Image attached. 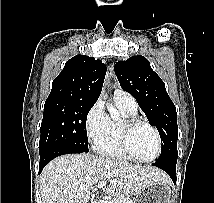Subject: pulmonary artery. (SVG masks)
Returning a JSON list of instances; mask_svg holds the SVG:
<instances>
[{
  "label": "pulmonary artery",
  "instance_id": "1",
  "mask_svg": "<svg viewBox=\"0 0 214 203\" xmlns=\"http://www.w3.org/2000/svg\"><path fill=\"white\" fill-rule=\"evenodd\" d=\"M114 97L123 102L124 104H126L128 107L132 109H137L136 100L126 91L122 89H116Z\"/></svg>",
  "mask_w": 214,
  "mask_h": 203
}]
</instances>
